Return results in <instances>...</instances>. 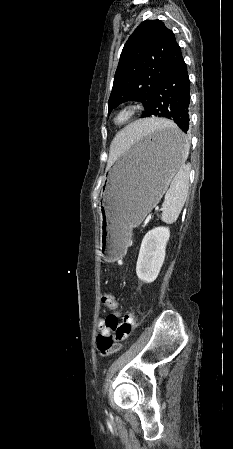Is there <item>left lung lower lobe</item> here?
Here are the masks:
<instances>
[{
    "mask_svg": "<svg viewBox=\"0 0 233 449\" xmlns=\"http://www.w3.org/2000/svg\"><path fill=\"white\" fill-rule=\"evenodd\" d=\"M190 81L183 57L164 75L158 84L152 104L142 116L165 117L174 121L184 132L189 131ZM157 139L164 144L177 148L186 138L183 134L162 133Z\"/></svg>",
    "mask_w": 233,
    "mask_h": 449,
    "instance_id": "obj_1",
    "label": "left lung lower lobe"
}]
</instances>
